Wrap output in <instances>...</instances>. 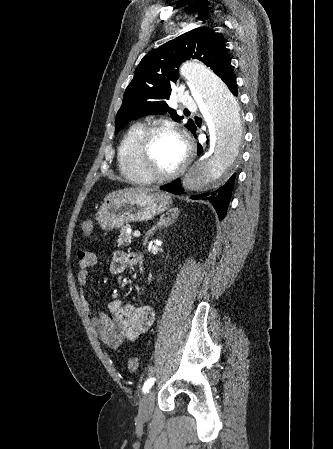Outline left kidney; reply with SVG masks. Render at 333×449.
<instances>
[{"label":"left kidney","instance_id":"5707ae66","mask_svg":"<svg viewBox=\"0 0 333 449\" xmlns=\"http://www.w3.org/2000/svg\"><path fill=\"white\" fill-rule=\"evenodd\" d=\"M151 277H152V276H151V274H150L149 281H150Z\"/></svg>","mask_w":333,"mask_h":449}]
</instances>
